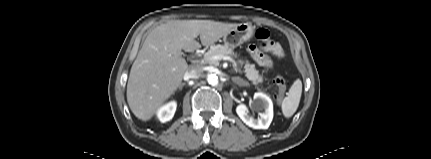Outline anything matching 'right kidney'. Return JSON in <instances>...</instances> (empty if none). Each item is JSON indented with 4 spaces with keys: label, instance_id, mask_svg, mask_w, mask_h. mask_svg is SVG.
Listing matches in <instances>:
<instances>
[{
    "label": "right kidney",
    "instance_id": "right-kidney-1",
    "mask_svg": "<svg viewBox=\"0 0 431 159\" xmlns=\"http://www.w3.org/2000/svg\"><path fill=\"white\" fill-rule=\"evenodd\" d=\"M177 104L176 102H170L163 107H161L157 113V117L161 122H167L170 121L174 113L176 111Z\"/></svg>",
    "mask_w": 431,
    "mask_h": 159
}]
</instances>
